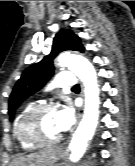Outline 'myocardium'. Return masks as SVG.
Returning <instances> with one entry per match:
<instances>
[{"mask_svg":"<svg viewBox=\"0 0 135 166\" xmlns=\"http://www.w3.org/2000/svg\"><path fill=\"white\" fill-rule=\"evenodd\" d=\"M51 110H57V105L55 103H40L27 109L25 113L22 115L18 125L20 138L26 143H29L34 146H52L60 142V140L62 139V134H60L56 138L47 140L37 136L30 130V123L36 116L43 112Z\"/></svg>","mask_w":135,"mask_h":166,"instance_id":"1","label":"myocardium"}]
</instances>
